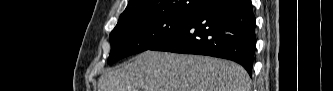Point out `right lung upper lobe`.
Masks as SVG:
<instances>
[{"mask_svg": "<svg viewBox=\"0 0 333 91\" xmlns=\"http://www.w3.org/2000/svg\"><path fill=\"white\" fill-rule=\"evenodd\" d=\"M204 0H129L125 11L120 15L117 25L144 16L158 14L196 15L204 7Z\"/></svg>", "mask_w": 333, "mask_h": 91, "instance_id": "1", "label": "right lung upper lobe"}]
</instances>
